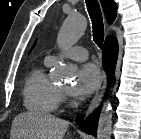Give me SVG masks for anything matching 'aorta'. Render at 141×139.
<instances>
[{"mask_svg":"<svg viewBox=\"0 0 141 139\" xmlns=\"http://www.w3.org/2000/svg\"><path fill=\"white\" fill-rule=\"evenodd\" d=\"M87 28L86 19L78 14L71 13L64 20L57 37L58 44L63 47L74 45L85 33ZM73 71L67 67H60L58 70L59 78H71ZM112 132V104L106 100L102 106L98 121L97 139H111Z\"/></svg>","mask_w":141,"mask_h":139,"instance_id":"1","label":"aorta"}]
</instances>
